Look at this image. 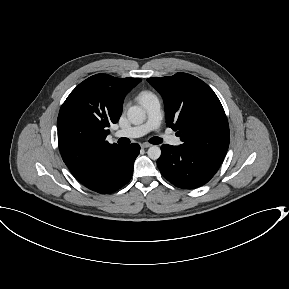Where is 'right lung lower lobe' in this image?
I'll return each instance as SVG.
<instances>
[{
	"label": "right lung lower lobe",
	"instance_id": "1",
	"mask_svg": "<svg viewBox=\"0 0 289 289\" xmlns=\"http://www.w3.org/2000/svg\"><path fill=\"white\" fill-rule=\"evenodd\" d=\"M139 151L138 144L122 146L102 162L93 176L80 182L90 190L101 194L118 190L130 181Z\"/></svg>",
	"mask_w": 289,
	"mask_h": 289
}]
</instances>
